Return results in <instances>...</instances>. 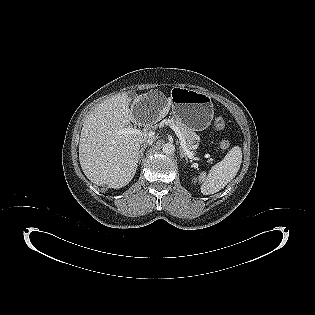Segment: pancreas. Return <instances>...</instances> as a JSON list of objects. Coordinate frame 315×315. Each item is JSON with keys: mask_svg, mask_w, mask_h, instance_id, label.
I'll return each mask as SVG.
<instances>
[{"mask_svg": "<svg viewBox=\"0 0 315 315\" xmlns=\"http://www.w3.org/2000/svg\"><path fill=\"white\" fill-rule=\"evenodd\" d=\"M165 123L168 125L177 126L185 137L187 147L190 150L194 149V143L196 142V140L198 141L199 138L192 129L187 127L179 118L166 119Z\"/></svg>", "mask_w": 315, "mask_h": 315, "instance_id": "obj_1", "label": "pancreas"}]
</instances>
